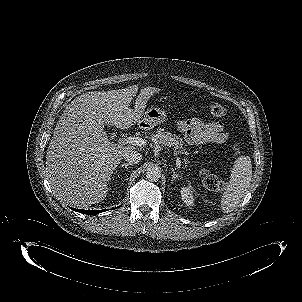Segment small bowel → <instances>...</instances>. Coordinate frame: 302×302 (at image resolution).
<instances>
[{
  "instance_id": "small-bowel-1",
  "label": "small bowel",
  "mask_w": 302,
  "mask_h": 302,
  "mask_svg": "<svg viewBox=\"0 0 302 302\" xmlns=\"http://www.w3.org/2000/svg\"><path fill=\"white\" fill-rule=\"evenodd\" d=\"M176 127L191 145L222 144L228 139V133L221 122L186 119L179 120Z\"/></svg>"
}]
</instances>
